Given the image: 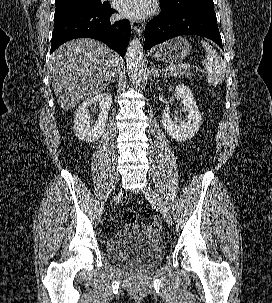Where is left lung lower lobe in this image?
Segmentation results:
<instances>
[{
  "instance_id": "1",
  "label": "left lung lower lobe",
  "mask_w": 272,
  "mask_h": 303,
  "mask_svg": "<svg viewBox=\"0 0 272 303\" xmlns=\"http://www.w3.org/2000/svg\"><path fill=\"white\" fill-rule=\"evenodd\" d=\"M186 34L207 37L223 49L214 10H187L173 14L163 10L158 18L146 25L144 49Z\"/></svg>"
}]
</instances>
